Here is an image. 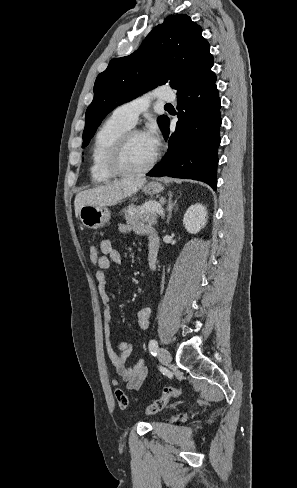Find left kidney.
I'll return each instance as SVG.
<instances>
[{"label": "left kidney", "mask_w": 297, "mask_h": 488, "mask_svg": "<svg viewBox=\"0 0 297 488\" xmlns=\"http://www.w3.org/2000/svg\"><path fill=\"white\" fill-rule=\"evenodd\" d=\"M206 207L200 203L190 206L184 214L183 224L185 229L191 233L196 234L205 227L207 222Z\"/></svg>", "instance_id": "obj_1"}]
</instances>
